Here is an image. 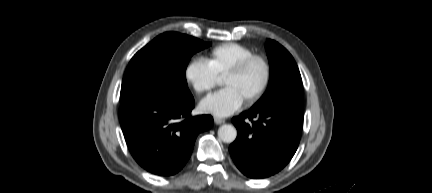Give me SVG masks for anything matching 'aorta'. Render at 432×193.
Instances as JSON below:
<instances>
[{
  "mask_svg": "<svg viewBox=\"0 0 432 193\" xmlns=\"http://www.w3.org/2000/svg\"><path fill=\"white\" fill-rule=\"evenodd\" d=\"M218 137L225 143L232 142L236 137V130L232 125H222L218 129Z\"/></svg>",
  "mask_w": 432,
  "mask_h": 193,
  "instance_id": "aorta-1",
  "label": "aorta"
}]
</instances>
